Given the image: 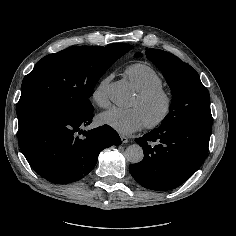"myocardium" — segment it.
<instances>
[{
	"label": "myocardium",
	"instance_id": "myocardium-1",
	"mask_svg": "<svg viewBox=\"0 0 236 236\" xmlns=\"http://www.w3.org/2000/svg\"><path fill=\"white\" fill-rule=\"evenodd\" d=\"M137 99L141 104L147 105L156 101H161L163 110L154 120L145 123L147 129H156L163 125L173 112L174 97L171 91L166 88H158L147 92H138Z\"/></svg>",
	"mask_w": 236,
	"mask_h": 236
}]
</instances>
